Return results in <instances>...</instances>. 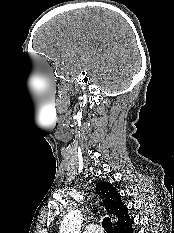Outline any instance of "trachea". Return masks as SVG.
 <instances>
[{
  "label": "trachea",
  "instance_id": "3493384b",
  "mask_svg": "<svg viewBox=\"0 0 174 233\" xmlns=\"http://www.w3.org/2000/svg\"><path fill=\"white\" fill-rule=\"evenodd\" d=\"M102 225L107 233H114L113 232V227L111 223V219L109 217H105L103 219Z\"/></svg>",
  "mask_w": 174,
  "mask_h": 233
}]
</instances>
